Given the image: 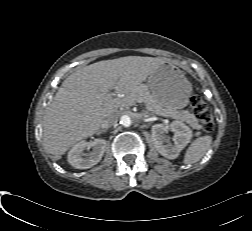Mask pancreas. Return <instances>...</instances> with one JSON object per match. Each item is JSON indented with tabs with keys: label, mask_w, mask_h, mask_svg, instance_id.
Here are the masks:
<instances>
[{
	"label": "pancreas",
	"mask_w": 252,
	"mask_h": 231,
	"mask_svg": "<svg viewBox=\"0 0 252 231\" xmlns=\"http://www.w3.org/2000/svg\"><path fill=\"white\" fill-rule=\"evenodd\" d=\"M131 101L144 103L147 110L155 113L157 115H162L165 117H172L174 119H178L182 122H186L189 124L193 129H200L201 126L199 125L198 119L195 117L194 114L190 113L188 110L178 111V110H164L162 109L155 99L152 97L151 93L145 86H140L136 91L128 95Z\"/></svg>",
	"instance_id": "1"
}]
</instances>
